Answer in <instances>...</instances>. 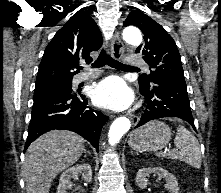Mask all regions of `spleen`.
<instances>
[{
  "label": "spleen",
  "instance_id": "1",
  "mask_svg": "<svg viewBox=\"0 0 221 193\" xmlns=\"http://www.w3.org/2000/svg\"><path fill=\"white\" fill-rule=\"evenodd\" d=\"M174 144L180 151L173 150L170 152V158L179 159L196 168L201 167L202 159L199 142L184 126L180 125L177 127V135ZM157 155H160V153Z\"/></svg>",
  "mask_w": 221,
  "mask_h": 193
}]
</instances>
